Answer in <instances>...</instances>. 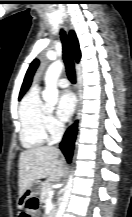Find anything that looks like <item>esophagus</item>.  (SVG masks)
Segmentation results:
<instances>
[{
	"label": "esophagus",
	"mask_w": 132,
	"mask_h": 217,
	"mask_svg": "<svg viewBox=\"0 0 132 217\" xmlns=\"http://www.w3.org/2000/svg\"><path fill=\"white\" fill-rule=\"evenodd\" d=\"M76 92H77V106H76L75 113L71 119L70 125L74 124V122L78 119L79 114H80V109H81V103H82L80 80H79L78 75H77V83H76Z\"/></svg>",
	"instance_id": "esophagus-1"
}]
</instances>
